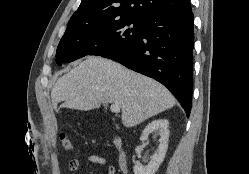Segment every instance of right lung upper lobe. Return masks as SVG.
<instances>
[{
	"label": "right lung upper lobe",
	"mask_w": 249,
	"mask_h": 174,
	"mask_svg": "<svg viewBox=\"0 0 249 174\" xmlns=\"http://www.w3.org/2000/svg\"><path fill=\"white\" fill-rule=\"evenodd\" d=\"M189 5L190 0H82L78 10L70 18L67 29L124 17L146 20L157 13Z\"/></svg>",
	"instance_id": "cb5924a9"
}]
</instances>
